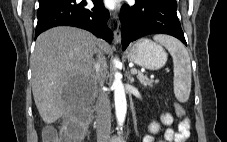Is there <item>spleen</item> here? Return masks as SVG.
I'll return each mask as SVG.
<instances>
[{"instance_id": "spleen-1", "label": "spleen", "mask_w": 227, "mask_h": 142, "mask_svg": "<svg viewBox=\"0 0 227 142\" xmlns=\"http://www.w3.org/2000/svg\"><path fill=\"white\" fill-rule=\"evenodd\" d=\"M153 39L166 47L173 58L174 94L180 102H186L191 92V63L185 46L168 35H155Z\"/></svg>"}]
</instances>
